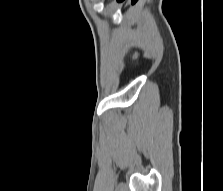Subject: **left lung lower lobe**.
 <instances>
[{"label": "left lung lower lobe", "mask_w": 223, "mask_h": 191, "mask_svg": "<svg viewBox=\"0 0 223 191\" xmlns=\"http://www.w3.org/2000/svg\"><path fill=\"white\" fill-rule=\"evenodd\" d=\"M118 1H123V0H118ZM137 0H132V3L134 4Z\"/></svg>", "instance_id": "obj_1"}]
</instances>
